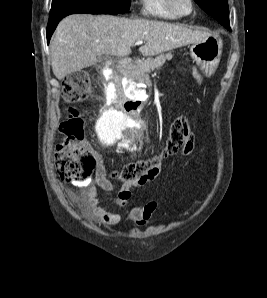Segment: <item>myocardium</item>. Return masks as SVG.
I'll use <instances>...</instances> for the list:
<instances>
[{
  "mask_svg": "<svg viewBox=\"0 0 267 298\" xmlns=\"http://www.w3.org/2000/svg\"><path fill=\"white\" fill-rule=\"evenodd\" d=\"M166 2V6L167 8L172 12L174 13L176 16L178 17H186V16H189L193 13L194 11V0H189V3H190V10L189 12L187 13H182L180 12L176 6H175V3H174V0H165Z\"/></svg>",
  "mask_w": 267,
  "mask_h": 298,
  "instance_id": "obj_1",
  "label": "myocardium"
}]
</instances>
